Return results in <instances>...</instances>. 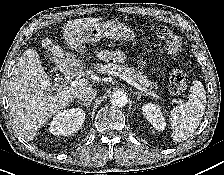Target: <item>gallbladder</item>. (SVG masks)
<instances>
[{
  "mask_svg": "<svg viewBox=\"0 0 224 175\" xmlns=\"http://www.w3.org/2000/svg\"><path fill=\"white\" fill-rule=\"evenodd\" d=\"M41 60L43 61L44 64L47 62L46 57L45 58H41ZM53 70H54V68H53Z\"/></svg>",
  "mask_w": 224,
  "mask_h": 175,
  "instance_id": "obj_1",
  "label": "gallbladder"
}]
</instances>
